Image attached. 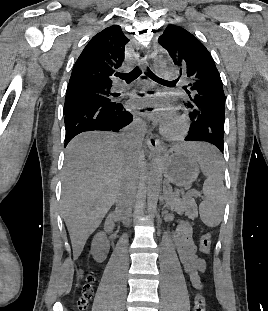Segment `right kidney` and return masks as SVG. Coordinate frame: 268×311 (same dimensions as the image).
<instances>
[{"label":"right kidney","instance_id":"right-kidney-1","mask_svg":"<svg viewBox=\"0 0 268 311\" xmlns=\"http://www.w3.org/2000/svg\"><path fill=\"white\" fill-rule=\"evenodd\" d=\"M110 245L103 232L97 233L92 241L91 254L97 262H102L106 259Z\"/></svg>","mask_w":268,"mask_h":311}]
</instances>
